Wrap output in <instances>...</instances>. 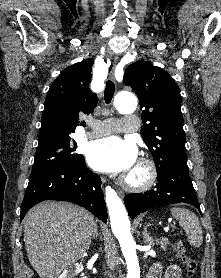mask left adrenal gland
Instances as JSON below:
<instances>
[{
  "instance_id": "left-adrenal-gland-1",
  "label": "left adrenal gland",
  "mask_w": 221,
  "mask_h": 278,
  "mask_svg": "<svg viewBox=\"0 0 221 278\" xmlns=\"http://www.w3.org/2000/svg\"><path fill=\"white\" fill-rule=\"evenodd\" d=\"M142 235H143L144 243L153 244V239L148 234L147 226L144 227V231Z\"/></svg>"
}]
</instances>
